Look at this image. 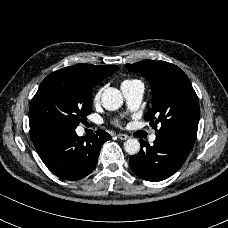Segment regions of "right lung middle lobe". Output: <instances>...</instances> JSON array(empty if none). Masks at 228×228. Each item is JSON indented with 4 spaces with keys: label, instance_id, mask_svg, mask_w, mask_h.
<instances>
[{
    "label": "right lung middle lobe",
    "instance_id": "obj_1",
    "mask_svg": "<svg viewBox=\"0 0 228 228\" xmlns=\"http://www.w3.org/2000/svg\"><path fill=\"white\" fill-rule=\"evenodd\" d=\"M93 87L71 74L48 75L30 104V131L52 126L76 128L92 112Z\"/></svg>",
    "mask_w": 228,
    "mask_h": 228
}]
</instances>
